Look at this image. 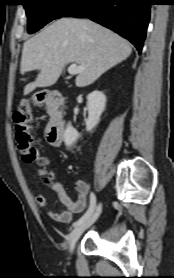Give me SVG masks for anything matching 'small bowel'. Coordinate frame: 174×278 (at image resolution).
Returning <instances> with one entry per match:
<instances>
[{
  "label": "small bowel",
  "instance_id": "obj_1",
  "mask_svg": "<svg viewBox=\"0 0 174 278\" xmlns=\"http://www.w3.org/2000/svg\"><path fill=\"white\" fill-rule=\"evenodd\" d=\"M34 163L40 167H46L51 165L52 161L46 156L38 155ZM50 188L52 193L58 196L59 201L65 207V210L61 212L49 213V215L54 220L60 223L70 222L74 214L80 213L85 208L87 203V195L89 192V185L85 180L79 179L75 182V190L77 192L76 200L71 199V197L67 194L65 188L63 187L62 183L57 179L53 180ZM35 201L40 207L46 206V198L43 195H37L35 197Z\"/></svg>",
  "mask_w": 174,
  "mask_h": 278
}]
</instances>
